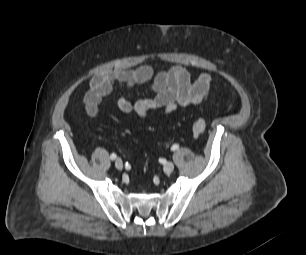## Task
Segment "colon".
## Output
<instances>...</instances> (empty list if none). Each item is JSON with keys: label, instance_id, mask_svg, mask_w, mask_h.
I'll use <instances>...</instances> for the list:
<instances>
[{"label": "colon", "instance_id": "colon-1", "mask_svg": "<svg viewBox=\"0 0 306 255\" xmlns=\"http://www.w3.org/2000/svg\"><path fill=\"white\" fill-rule=\"evenodd\" d=\"M206 129V121L203 118H196L192 123V131L196 135L202 134Z\"/></svg>", "mask_w": 306, "mask_h": 255}]
</instances>
